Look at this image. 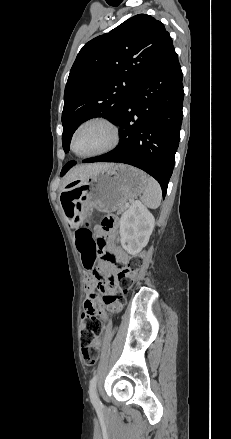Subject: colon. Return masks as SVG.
Returning <instances> with one entry per match:
<instances>
[{"mask_svg":"<svg viewBox=\"0 0 231 439\" xmlns=\"http://www.w3.org/2000/svg\"><path fill=\"white\" fill-rule=\"evenodd\" d=\"M114 225V218L107 216L102 219L100 228L103 231H109ZM103 240L104 238H99ZM97 251L90 250L86 252L82 258L84 268L90 271L95 278L101 282L103 275L95 267L97 258ZM143 265V256L134 255L128 259L127 262L118 266V272L114 275V284L110 291L104 292L102 296L103 303L109 308V312H115L124 302L125 294L133 285L134 279ZM101 317L96 316V313L90 310H84L81 315V332L80 342L84 362L88 366L94 365L99 357L98 349L94 343L98 339L102 331V319H105L107 313L102 311Z\"/></svg>","mask_w":231,"mask_h":439,"instance_id":"1","label":"colon"}]
</instances>
